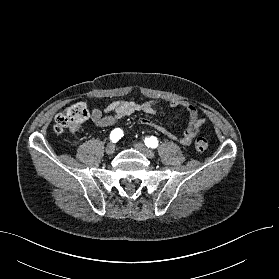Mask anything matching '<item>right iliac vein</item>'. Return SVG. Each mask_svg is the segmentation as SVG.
<instances>
[{
	"mask_svg": "<svg viewBox=\"0 0 279 279\" xmlns=\"http://www.w3.org/2000/svg\"><path fill=\"white\" fill-rule=\"evenodd\" d=\"M107 155H112L115 152V144L109 143L105 149Z\"/></svg>",
	"mask_w": 279,
	"mask_h": 279,
	"instance_id": "63e3f726",
	"label": "right iliac vein"
}]
</instances>
